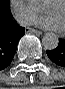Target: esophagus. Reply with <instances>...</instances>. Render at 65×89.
Here are the masks:
<instances>
[{"label": "esophagus", "mask_w": 65, "mask_h": 89, "mask_svg": "<svg viewBox=\"0 0 65 89\" xmlns=\"http://www.w3.org/2000/svg\"><path fill=\"white\" fill-rule=\"evenodd\" d=\"M28 31H29V32H32V33H35V34H39V35H41V34H42V32H41V31L36 30V29H33V28H28Z\"/></svg>", "instance_id": "34e87169"}]
</instances>
